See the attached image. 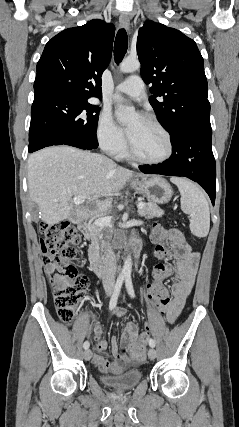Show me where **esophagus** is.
Listing matches in <instances>:
<instances>
[{
    "mask_svg": "<svg viewBox=\"0 0 239 427\" xmlns=\"http://www.w3.org/2000/svg\"><path fill=\"white\" fill-rule=\"evenodd\" d=\"M119 22L122 28H124L125 30L129 31L130 29V19L128 17V15L126 14H122L119 17Z\"/></svg>",
    "mask_w": 239,
    "mask_h": 427,
    "instance_id": "1",
    "label": "esophagus"
}]
</instances>
